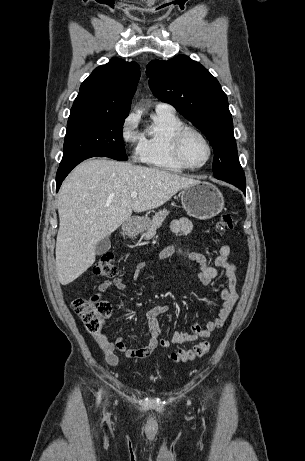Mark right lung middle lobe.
Masks as SVG:
<instances>
[{"label": "right lung middle lobe", "instance_id": "right-lung-middle-lobe-1", "mask_svg": "<svg viewBox=\"0 0 305 461\" xmlns=\"http://www.w3.org/2000/svg\"><path fill=\"white\" fill-rule=\"evenodd\" d=\"M127 116L71 110L60 165L91 157L127 160L123 123Z\"/></svg>", "mask_w": 305, "mask_h": 461}]
</instances>
